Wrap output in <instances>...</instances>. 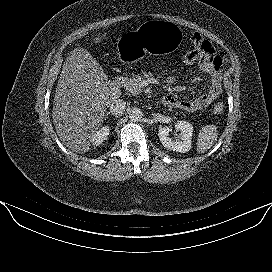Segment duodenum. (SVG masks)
<instances>
[{
    "instance_id": "obj_1",
    "label": "duodenum",
    "mask_w": 272,
    "mask_h": 272,
    "mask_svg": "<svg viewBox=\"0 0 272 272\" xmlns=\"http://www.w3.org/2000/svg\"><path fill=\"white\" fill-rule=\"evenodd\" d=\"M115 84L116 85H122L123 83H124V81H125V78L123 77V76H121V75H119V76H116L115 77ZM162 102L165 104L166 103V98L165 97H163L162 98Z\"/></svg>"
}]
</instances>
